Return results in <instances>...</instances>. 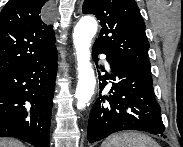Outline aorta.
I'll return each mask as SVG.
<instances>
[{
    "instance_id": "obj_1",
    "label": "aorta",
    "mask_w": 183,
    "mask_h": 147,
    "mask_svg": "<svg viewBox=\"0 0 183 147\" xmlns=\"http://www.w3.org/2000/svg\"><path fill=\"white\" fill-rule=\"evenodd\" d=\"M97 21L91 16L82 17L76 24L73 33V43L77 55L78 83L75 92L77 108L84 109L89 105L96 79L92 64L90 62V46L97 32Z\"/></svg>"
}]
</instances>
